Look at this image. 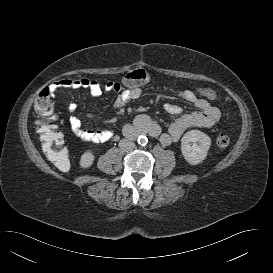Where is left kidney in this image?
I'll list each match as a JSON object with an SVG mask.
<instances>
[{
  "label": "left kidney",
  "mask_w": 273,
  "mask_h": 273,
  "mask_svg": "<svg viewBox=\"0 0 273 273\" xmlns=\"http://www.w3.org/2000/svg\"><path fill=\"white\" fill-rule=\"evenodd\" d=\"M211 139L199 130H190L181 139V152L191 165L201 163L207 156Z\"/></svg>",
  "instance_id": "obj_1"
}]
</instances>
